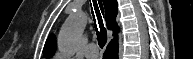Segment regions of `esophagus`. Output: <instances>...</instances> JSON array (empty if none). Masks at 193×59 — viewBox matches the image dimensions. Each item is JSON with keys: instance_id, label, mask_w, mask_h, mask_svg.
Listing matches in <instances>:
<instances>
[{"instance_id": "1", "label": "esophagus", "mask_w": 193, "mask_h": 59, "mask_svg": "<svg viewBox=\"0 0 193 59\" xmlns=\"http://www.w3.org/2000/svg\"><path fill=\"white\" fill-rule=\"evenodd\" d=\"M95 3H98V1H94ZM91 3H93L92 1H91Z\"/></svg>"}]
</instances>
